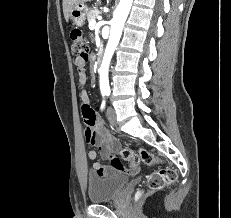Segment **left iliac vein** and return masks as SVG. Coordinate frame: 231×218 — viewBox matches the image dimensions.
I'll use <instances>...</instances> for the list:
<instances>
[{
	"instance_id": "4c4485c4",
	"label": "left iliac vein",
	"mask_w": 231,
	"mask_h": 218,
	"mask_svg": "<svg viewBox=\"0 0 231 218\" xmlns=\"http://www.w3.org/2000/svg\"><path fill=\"white\" fill-rule=\"evenodd\" d=\"M107 118L112 126L117 125L115 110L111 106L107 109Z\"/></svg>"
}]
</instances>
